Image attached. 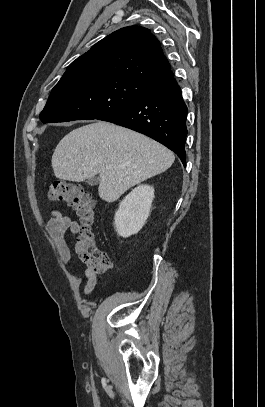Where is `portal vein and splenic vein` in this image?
I'll list each match as a JSON object with an SVG mask.
<instances>
[{"label": "portal vein and splenic vein", "instance_id": "obj_1", "mask_svg": "<svg viewBox=\"0 0 265 407\" xmlns=\"http://www.w3.org/2000/svg\"><path fill=\"white\" fill-rule=\"evenodd\" d=\"M107 169H111V166H107Z\"/></svg>", "mask_w": 265, "mask_h": 407}]
</instances>
